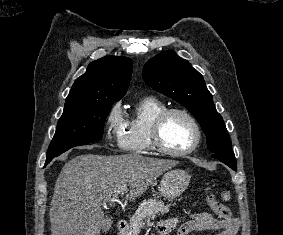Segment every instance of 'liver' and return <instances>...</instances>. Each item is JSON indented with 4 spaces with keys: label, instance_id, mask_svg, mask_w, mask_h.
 I'll return each instance as SVG.
<instances>
[{
    "label": "liver",
    "instance_id": "6515ba94",
    "mask_svg": "<svg viewBox=\"0 0 283 235\" xmlns=\"http://www.w3.org/2000/svg\"><path fill=\"white\" fill-rule=\"evenodd\" d=\"M178 163L137 153L72 158L55 184L49 210L51 235H99L106 224L102 205L111 200L115 190L129 186V200L133 201Z\"/></svg>",
    "mask_w": 283,
    "mask_h": 235
}]
</instances>
